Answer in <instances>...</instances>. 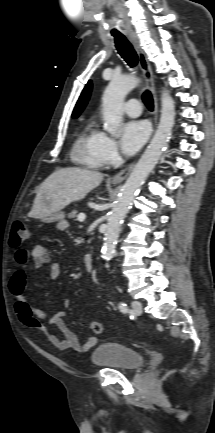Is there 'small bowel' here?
Here are the masks:
<instances>
[{
	"mask_svg": "<svg viewBox=\"0 0 215 433\" xmlns=\"http://www.w3.org/2000/svg\"><path fill=\"white\" fill-rule=\"evenodd\" d=\"M29 257L34 259L36 267L50 265L49 277L57 279L61 275L62 269L58 263H51V258L45 246L35 245L29 254L25 249L19 248L14 252V259L18 267L11 275L9 280V291L15 299V312L22 324L31 329L42 331L49 342L58 350H75L77 352H87L97 343L96 337H90L85 342L80 343L76 334L67 326L64 321V312L58 311L53 314L46 313L34 307L26 298L25 289L27 285V262ZM41 320H46L49 325L56 327L62 334V338L50 332Z\"/></svg>",
	"mask_w": 215,
	"mask_h": 433,
	"instance_id": "obj_1",
	"label": "small bowel"
}]
</instances>
